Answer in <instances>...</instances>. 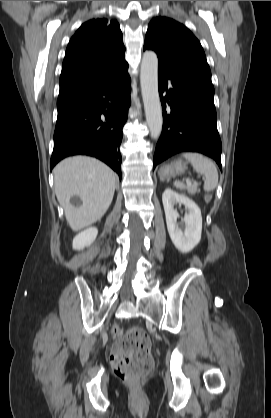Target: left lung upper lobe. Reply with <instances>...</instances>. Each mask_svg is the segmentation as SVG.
I'll return each instance as SVG.
<instances>
[{"label": "left lung upper lobe", "mask_w": 271, "mask_h": 418, "mask_svg": "<svg viewBox=\"0 0 271 418\" xmlns=\"http://www.w3.org/2000/svg\"><path fill=\"white\" fill-rule=\"evenodd\" d=\"M144 49L154 50L161 64L211 82V71L200 42L189 29L171 18L157 17L150 22Z\"/></svg>", "instance_id": "obj_1"}]
</instances>
